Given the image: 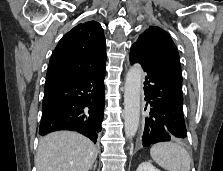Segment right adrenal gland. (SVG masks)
I'll list each match as a JSON object with an SVG mask.
<instances>
[{"label": "right adrenal gland", "mask_w": 223, "mask_h": 171, "mask_svg": "<svg viewBox=\"0 0 223 171\" xmlns=\"http://www.w3.org/2000/svg\"><path fill=\"white\" fill-rule=\"evenodd\" d=\"M96 166H97V161H96L95 164L91 167V169H93V171H95Z\"/></svg>", "instance_id": "right-adrenal-gland-1"}]
</instances>
